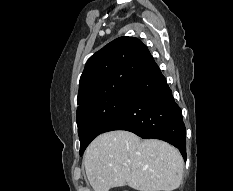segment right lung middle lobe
<instances>
[{"label": "right lung middle lobe", "instance_id": "right-lung-middle-lobe-1", "mask_svg": "<svg viewBox=\"0 0 233 191\" xmlns=\"http://www.w3.org/2000/svg\"><path fill=\"white\" fill-rule=\"evenodd\" d=\"M129 93H117L77 111L80 154L89 143L126 107Z\"/></svg>", "mask_w": 233, "mask_h": 191}]
</instances>
